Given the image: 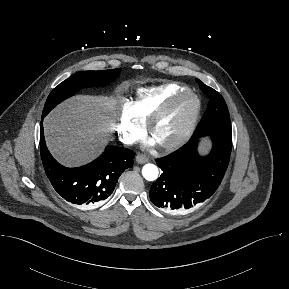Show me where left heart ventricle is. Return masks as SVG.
<instances>
[{
  "label": "left heart ventricle",
  "mask_w": 289,
  "mask_h": 289,
  "mask_svg": "<svg viewBox=\"0 0 289 289\" xmlns=\"http://www.w3.org/2000/svg\"><path fill=\"white\" fill-rule=\"evenodd\" d=\"M193 109L189 97L180 99L170 111L155 125L152 137L157 143L168 142L176 138L186 125Z\"/></svg>",
  "instance_id": "left-heart-ventricle-1"
}]
</instances>
